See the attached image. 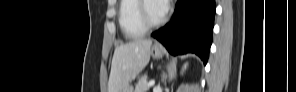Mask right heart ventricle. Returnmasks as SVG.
Wrapping results in <instances>:
<instances>
[{"instance_id":"obj_1","label":"right heart ventricle","mask_w":296,"mask_h":92,"mask_svg":"<svg viewBox=\"0 0 296 92\" xmlns=\"http://www.w3.org/2000/svg\"><path fill=\"white\" fill-rule=\"evenodd\" d=\"M139 2L137 0H123L120 2L118 21L126 38L133 39L146 33V29L138 19Z\"/></svg>"}]
</instances>
